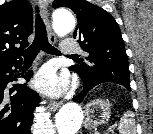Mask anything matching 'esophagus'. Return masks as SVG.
<instances>
[{"label": "esophagus", "instance_id": "esophagus-1", "mask_svg": "<svg viewBox=\"0 0 153 134\" xmlns=\"http://www.w3.org/2000/svg\"><path fill=\"white\" fill-rule=\"evenodd\" d=\"M38 5H39V9H40V14L41 17L45 23L46 29H47V33H48V38L50 40L51 43H55L56 42V38L55 35L52 31L51 25H50V21L48 18V9H47V1L46 0H38ZM62 105L61 101H51L49 103V107L52 110H57L60 106Z\"/></svg>", "mask_w": 153, "mask_h": 134}]
</instances>
